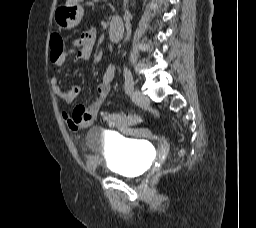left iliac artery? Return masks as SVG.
<instances>
[{"instance_id": "1", "label": "left iliac artery", "mask_w": 256, "mask_h": 228, "mask_svg": "<svg viewBox=\"0 0 256 228\" xmlns=\"http://www.w3.org/2000/svg\"><path fill=\"white\" fill-rule=\"evenodd\" d=\"M124 77H125L124 90L128 94V93H131V91L134 88V80L130 70L127 67H125L124 69Z\"/></svg>"}]
</instances>
